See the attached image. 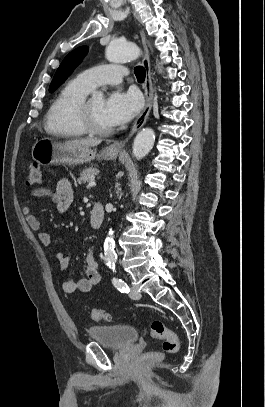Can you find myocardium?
I'll list each match as a JSON object with an SVG mask.
<instances>
[{
	"instance_id": "obj_1",
	"label": "myocardium",
	"mask_w": 265,
	"mask_h": 407,
	"mask_svg": "<svg viewBox=\"0 0 265 407\" xmlns=\"http://www.w3.org/2000/svg\"><path fill=\"white\" fill-rule=\"evenodd\" d=\"M75 119L79 127L92 136H107L113 132V128H99L94 120L90 109V99H84L75 108Z\"/></svg>"
}]
</instances>
